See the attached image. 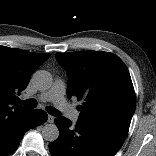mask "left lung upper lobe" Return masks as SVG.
I'll return each mask as SVG.
<instances>
[{
  "mask_svg": "<svg viewBox=\"0 0 156 156\" xmlns=\"http://www.w3.org/2000/svg\"><path fill=\"white\" fill-rule=\"evenodd\" d=\"M56 59L68 75V97L84 100L78 123L126 138L136 98L123 61L104 51L57 53Z\"/></svg>",
  "mask_w": 156,
  "mask_h": 156,
  "instance_id": "1",
  "label": "left lung upper lobe"
}]
</instances>
